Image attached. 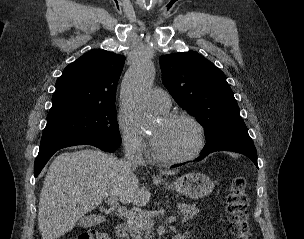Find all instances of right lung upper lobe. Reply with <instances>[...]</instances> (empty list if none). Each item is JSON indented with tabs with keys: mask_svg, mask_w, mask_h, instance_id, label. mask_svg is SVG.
<instances>
[{
	"mask_svg": "<svg viewBox=\"0 0 304 239\" xmlns=\"http://www.w3.org/2000/svg\"><path fill=\"white\" fill-rule=\"evenodd\" d=\"M125 56L91 50L69 64L57 79L49 113L71 108L115 105Z\"/></svg>",
	"mask_w": 304,
	"mask_h": 239,
	"instance_id": "obj_1",
	"label": "right lung upper lobe"
}]
</instances>
